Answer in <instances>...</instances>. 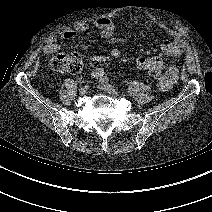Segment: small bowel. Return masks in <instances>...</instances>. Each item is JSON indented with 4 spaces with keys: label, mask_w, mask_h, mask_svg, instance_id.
Instances as JSON below:
<instances>
[{
    "label": "small bowel",
    "mask_w": 212,
    "mask_h": 212,
    "mask_svg": "<svg viewBox=\"0 0 212 212\" xmlns=\"http://www.w3.org/2000/svg\"><path fill=\"white\" fill-rule=\"evenodd\" d=\"M95 27L99 30V35L103 39H109L113 36L115 31V25L112 19L108 17H100L96 19L93 23L82 22L79 23L75 29L64 30L58 35L51 36L43 51L47 54H53L63 50L66 47L75 49H89L92 45L89 43H72L69 45H62L58 42L59 39L72 40L76 37L78 33H83L88 31L91 27ZM161 51L168 56H183L186 51L185 42L181 39L165 40L161 43ZM121 58V52L112 48L109 49L105 54L94 55L90 58L92 63H106ZM164 61L160 56H150L141 57L137 60L135 68L138 71L149 70L151 67L162 68ZM178 68L175 65L168 67L166 76L162 82H159V87L162 91H168L171 89L173 84L178 78Z\"/></svg>",
    "instance_id": "1"
}]
</instances>
